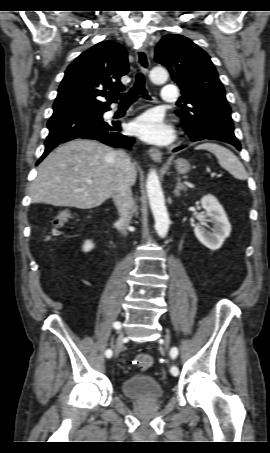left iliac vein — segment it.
I'll return each mask as SVG.
<instances>
[{"label": "left iliac vein", "mask_w": 270, "mask_h": 453, "mask_svg": "<svg viewBox=\"0 0 270 453\" xmlns=\"http://www.w3.org/2000/svg\"><path fill=\"white\" fill-rule=\"evenodd\" d=\"M170 341H171V337H170V334L169 332H167L165 338H164V346H165V349L168 350L169 347H170Z\"/></svg>", "instance_id": "left-iliac-vein-1"}]
</instances>
